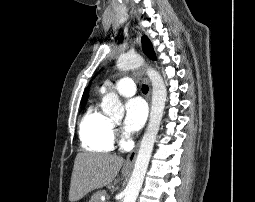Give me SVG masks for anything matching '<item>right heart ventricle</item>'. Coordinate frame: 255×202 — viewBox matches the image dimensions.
I'll return each mask as SVG.
<instances>
[{"instance_id": "right-heart-ventricle-1", "label": "right heart ventricle", "mask_w": 255, "mask_h": 202, "mask_svg": "<svg viewBox=\"0 0 255 202\" xmlns=\"http://www.w3.org/2000/svg\"><path fill=\"white\" fill-rule=\"evenodd\" d=\"M80 139L87 151L109 152L114 146V125L97 107L92 106L80 122Z\"/></svg>"}]
</instances>
